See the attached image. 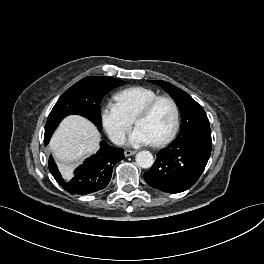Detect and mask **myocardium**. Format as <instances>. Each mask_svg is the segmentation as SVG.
<instances>
[{"mask_svg": "<svg viewBox=\"0 0 264 264\" xmlns=\"http://www.w3.org/2000/svg\"><path fill=\"white\" fill-rule=\"evenodd\" d=\"M161 101H168L172 108H173V113H174V117H173V123L172 126L169 130V132L162 137L161 139L154 141L153 144L155 146H161L164 145L166 143H168L169 141H171L173 139V137L175 136L178 127H179V121H180V111H179V107L177 102L168 95H159L155 98H153L152 100H150L134 117V124L136 125L137 121L147 117L148 115L151 114V112L153 111V109L155 108V106L161 102Z\"/></svg>", "mask_w": 264, "mask_h": 264, "instance_id": "obj_1", "label": "myocardium"}]
</instances>
